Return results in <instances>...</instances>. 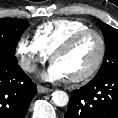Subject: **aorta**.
<instances>
[{"instance_id": "obj_1", "label": "aorta", "mask_w": 118, "mask_h": 118, "mask_svg": "<svg viewBox=\"0 0 118 118\" xmlns=\"http://www.w3.org/2000/svg\"><path fill=\"white\" fill-rule=\"evenodd\" d=\"M52 101L58 107L66 106L69 102V97L66 92L57 90L52 93Z\"/></svg>"}]
</instances>
